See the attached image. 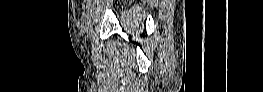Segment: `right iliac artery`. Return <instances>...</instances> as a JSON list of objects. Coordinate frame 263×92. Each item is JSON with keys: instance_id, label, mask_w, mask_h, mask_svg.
Listing matches in <instances>:
<instances>
[{"instance_id": "82829eb1", "label": "right iliac artery", "mask_w": 263, "mask_h": 92, "mask_svg": "<svg viewBox=\"0 0 263 92\" xmlns=\"http://www.w3.org/2000/svg\"><path fill=\"white\" fill-rule=\"evenodd\" d=\"M94 0H88L87 1V7L85 9V12L83 13V19L85 21H88V15L90 14V10L93 7ZM85 25H88V22H85Z\"/></svg>"}]
</instances>
